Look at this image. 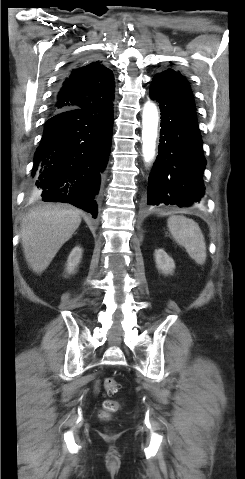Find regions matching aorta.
<instances>
[{
	"label": "aorta",
	"mask_w": 245,
	"mask_h": 479,
	"mask_svg": "<svg viewBox=\"0 0 245 479\" xmlns=\"http://www.w3.org/2000/svg\"><path fill=\"white\" fill-rule=\"evenodd\" d=\"M158 120L157 107L154 103L147 102L142 114V152L147 163L151 162L155 156Z\"/></svg>",
	"instance_id": "1"
}]
</instances>
